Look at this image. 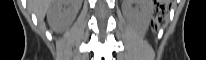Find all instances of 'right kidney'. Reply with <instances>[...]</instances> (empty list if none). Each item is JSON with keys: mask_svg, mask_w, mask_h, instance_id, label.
<instances>
[{"mask_svg": "<svg viewBox=\"0 0 206 60\" xmlns=\"http://www.w3.org/2000/svg\"><path fill=\"white\" fill-rule=\"evenodd\" d=\"M81 3L71 0H56L51 3L47 18L50 26L63 30L74 20Z\"/></svg>", "mask_w": 206, "mask_h": 60, "instance_id": "right-kidney-1", "label": "right kidney"}]
</instances>
